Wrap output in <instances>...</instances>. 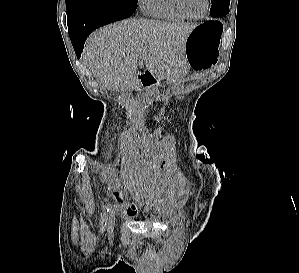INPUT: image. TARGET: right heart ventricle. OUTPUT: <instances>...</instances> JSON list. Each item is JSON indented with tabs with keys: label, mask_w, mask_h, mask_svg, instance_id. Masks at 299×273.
Instances as JSON below:
<instances>
[{
	"label": "right heart ventricle",
	"mask_w": 299,
	"mask_h": 273,
	"mask_svg": "<svg viewBox=\"0 0 299 273\" xmlns=\"http://www.w3.org/2000/svg\"><path fill=\"white\" fill-rule=\"evenodd\" d=\"M144 10L154 18L181 21L187 17L177 8L175 0H143Z\"/></svg>",
	"instance_id": "1"
}]
</instances>
